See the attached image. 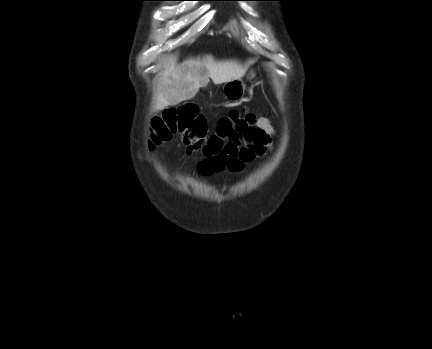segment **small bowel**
<instances>
[{
    "mask_svg": "<svg viewBox=\"0 0 432 349\" xmlns=\"http://www.w3.org/2000/svg\"><path fill=\"white\" fill-rule=\"evenodd\" d=\"M275 128L267 118H259L256 125L251 127L246 135L231 147L219 159V165L200 162L199 171L203 175L220 172L227 169L231 172H242L246 165L252 164L273 149Z\"/></svg>",
    "mask_w": 432,
    "mask_h": 349,
    "instance_id": "c3829d8e",
    "label": "small bowel"
}]
</instances>
